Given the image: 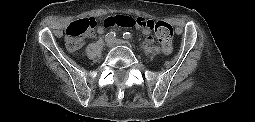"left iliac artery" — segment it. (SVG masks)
<instances>
[{
  "label": "left iliac artery",
  "instance_id": "1",
  "mask_svg": "<svg viewBox=\"0 0 255 122\" xmlns=\"http://www.w3.org/2000/svg\"><path fill=\"white\" fill-rule=\"evenodd\" d=\"M131 37H132V34L129 33V32H126V33L123 34V38H124L125 40H129V39H131Z\"/></svg>",
  "mask_w": 255,
  "mask_h": 122
}]
</instances>
